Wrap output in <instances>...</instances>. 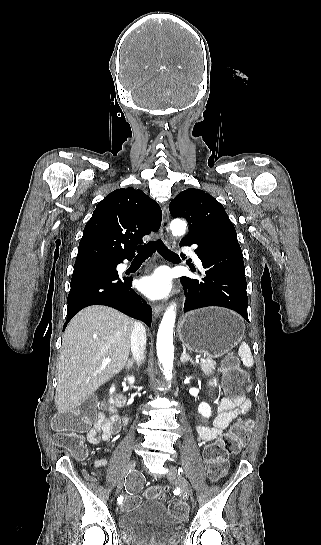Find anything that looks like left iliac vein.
Returning <instances> with one entry per match:
<instances>
[{
	"mask_svg": "<svg viewBox=\"0 0 321 545\" xmlns=\"http://www.w3.org/2000/svg\"><path fill=\"white\" fill-rule=\"evenodd\" d=\"M167 478H168L169 481H171V482L177 484L179 487H181L189 495L192 494V488H191L189 482L178 473V471H177V469L175 467H173V466L169 467V471L167 473Z\"/></svg>",
	"mask_w": 321,
	"mask_h": 545,
	"instance_id": "obj_1",
	"label": "left iliac vein"
}]
</instances>
